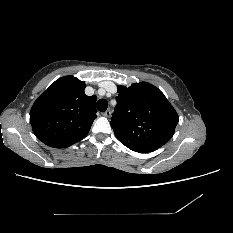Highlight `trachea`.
Returning a JSON list of instances; mask_svg holds the SVG:
<instances>
[{
  "label": "trachea",
  "mask_w": 233,
  "mask_h": 233,
  "mask_svg": "<svg viewBox=\"0 0 233 233\" xmlns=\"http://www.w3.org/2000/svg\"><path fill=\"white\" fill-rule=\"evenodd\" d=\"M108 108V102L107 100L105 99H99L97 101V109L100 111V112H105Z\"/></svg>",
  "instance_id": "obj_1"
}]
</instances>
